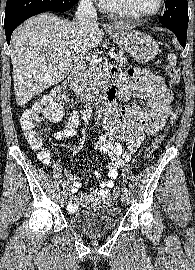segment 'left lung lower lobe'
Returning <instances> with one entry per match:
<instances>
[{"mask_svg": "<svg viewBox=\"0 0 195 270\" xmlns=\"http://www.w3.org/2000/svg\"><path fill=\"white\" fill-rule=\"evenodd\" d=\"M165 8L164 15L159 18L160 23L171 30L185 47L189 21L187 0H167Z\"/></svg>", "mask_w": 195, "mask_h": 270, "instance_id": "0a47b994", "label": "left lung lower lobe"}]
</instances>
